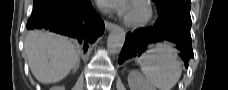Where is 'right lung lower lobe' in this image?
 Masks as SVG:
<instances>
[{"instance_id": "right-lung-lower-lobe-1", "label": "right lung lower lobe", "mask_w": 228, "mask_h": 90, "mask_svg": "<svg viewBox=\"0 0 228 90\" xmlns=\"http://www.w3.org/2000/svg\"><path fill=\"white\" fill-rule=\"evenodd\" d=\"M26 28L69 36L87 50L103 34L105 26L90 0H35Z\"/></svg>"}]
</instances>
